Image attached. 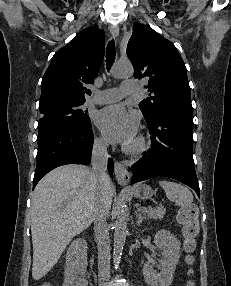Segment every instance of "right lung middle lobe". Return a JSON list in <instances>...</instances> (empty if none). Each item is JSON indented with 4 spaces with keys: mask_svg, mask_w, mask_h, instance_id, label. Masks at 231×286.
Here are the masks:
<instances>
[{
    "mask_svg": "<svg viewBox=\"0 0 231 286\" xmlns=\"http://www.w3.org/2000/svg\"><path fill=\"white\" fill-rule=\"evenodd\" d=\"M84 103L85 101H57L40 106L42 116L38 122V134L62 125L90 124L87 110L82 109Z\"/></svg>",
    "mask_w": 231,
    "mask_h": 286,
    "instance_id": "1",
    "label": "right lung middle lobe"
}]
</instances>
